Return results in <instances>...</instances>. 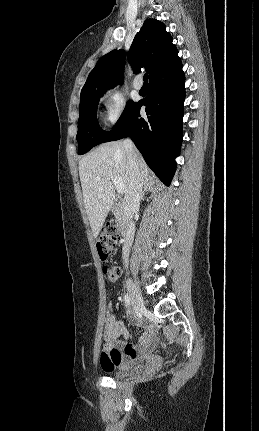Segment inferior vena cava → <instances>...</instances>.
<instances>
[{"label": "inferior vena cava", "mask_w": 259, "mask_h": 431, "mask_svg": "<svg viewBox=\"0 0 259 431\" xmlns=\"http://www.w3.org/2000/svg\"><path fill=\"white\" fill-rule=\"evenodd\" d=\"M123 145L128 156V162L132 174L134 176L133 185L129 193L125 196L124 212L128 218V225L125 232V242L123 245V258L127 261L130 253V249L134 240L135 224L133 222V216L136 209L139 208L140 200L142 197L143 183L141 174L138 167V157L135 146L131 139L127 138L123 141Z\"/></svg>", "instance_id": "inferior-vena-cava-1"}]
</instances>
